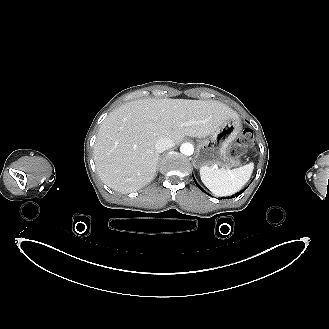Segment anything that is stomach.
I'll return each instance as SVG.
<instances>
[{
  "label": "stomach",
  "mask_w": 329,
  "mask_h": 329,
  "mask_svg": "<svg viewBox=\"0 0 329 329\" xmlns=\"http://www.w3.org/2000/svg\"><path fill=\"white\" fill-rule=\"evenodd\" d=\"M241 131V121L237 118H230L225 121L210 138L205 139L200 144V150L196 156L197 167H220L229 169L240 165L239 156L231 155L229 148L238 138Z\"/></svg>",
  "instance_id": "1"
}]
</instances>
